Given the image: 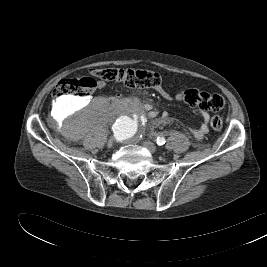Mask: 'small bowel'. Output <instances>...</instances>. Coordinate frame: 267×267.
<instances>
[{"instance_id":"c3829d8e","label":"small bowel","mask_w":267,"mask_h":267,"mask_svg":"<svg viewBox=\"0 0 267 267\" xmlns=\"http://www.w3.org/2000/svg\"><path fill=\"white\" fill-rule=\"evenodd\" d=\"M98 88L99 89L104 88V83L99 82ZM156 91L160 94V96L162 98H164L167 101L179 102L182 100V94L181 93H177V94L172 95L161 86L157 87ZM148 110H150V109H148ZM150 113H151V117H155L157 115L156 110H151ZM196 113L200 116L202 123H201L200 127L195 131V134L197 137L202 138L208 132L209 114L205 111H202V110H197Z\"/></svg>"}]
</instances>
